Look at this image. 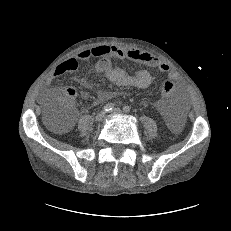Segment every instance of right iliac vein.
I'll return each mask as SVG.
<instances>
[{"mask_svg":"<svg viewBox=\"0 0 231 231\" xmlns=\"http://www.w3.org/2000/svg\"><path fill=\"white\" fill-rule=\"evenodd\" d=\"M104 117H105V112L101 111L96 115L95 121L100 122L103 120Z\"/></svg>","mask_w":231,"mask_h":231,"instance_id":"right-iliac-vein-1","label":"right iliac vein"}]
</instances>
